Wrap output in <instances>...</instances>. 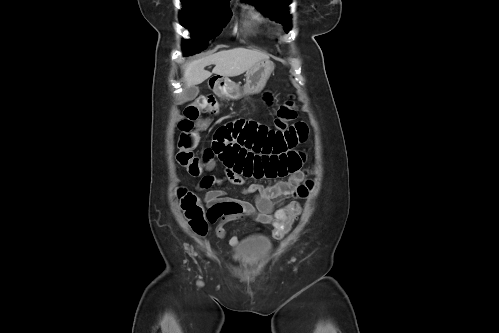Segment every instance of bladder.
I'll list each match as a JSON object with an SVG mask.
<instances>
[{"instance_id":"31cf9c89","label":"bladder","mask_w":499,"mask_h":333,"mask_svg":"<svg viewBox=\"0 0 499 333\" xmlns=\"http://www.w3.org/2000/svg\"><path fill=\"white\" fill-rule=\"evenodd\" d=\"M272 249L271 240L264 235L251 236L232 250L233 256L251 265L261 264Z\"/></svg>"}]
</instances>
